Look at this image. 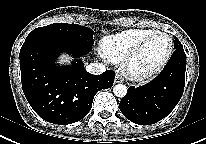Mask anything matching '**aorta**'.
Segmentation results:
<instances>
[{"instance_id": "762f6f07", "label": "aorta", "mask_w": 206, "mask_h": 144, "mask_svg": "<svg viewBox=\"0 0 206 144\" xmlns=\"http://www.w3.org/2000/svg\"><path fill=\"white\" fill-rule=\"evenodd\" d=\"M113 93L119 98H123L127 94V87L123 84H117L113 87Z\"/></svg>"}]
</instances>
